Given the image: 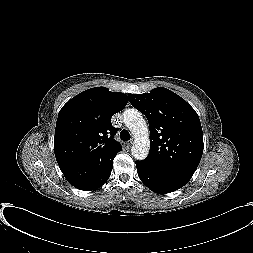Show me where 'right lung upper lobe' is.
Segmentation results:
<instances>
[{
    "label": "right lung upper lobe",
    "mask_w": 253,
    "mask_h": 253,
    "mask_svg": "<svg viewBox=\"0 0 253 253\" xmlns=\"http://www.w3.org/2000/svg\"><path fill=\"white\" fill-rule=\"evenodd\" d=\"M128 97L95 87L73 97L60 110L54 136L59 167L71 184L86 181L106 170L122 150L114 140L111 117Z\"/></svg>",
    "instance_id": "cb5924a9"
}]
</instances>
